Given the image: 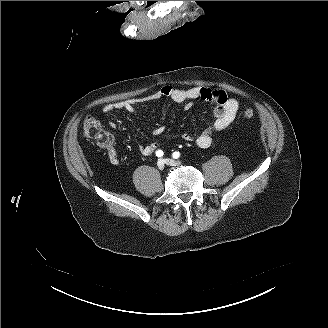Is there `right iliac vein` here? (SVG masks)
<instances>
[{
	"label": "right iliac vein",
	"instance_id": "63e3f726",
	"mask_svg": "<svg viewBox=\"0 0 328 328\" xmlns=\"http://www.w3.org/2000/svg\"><path fill=\"white\" fill-rule=\"evenodd\" d=\"M157 166H158V168H159L160 170H163L164 167H165V162H164V160H158V162H157Z\"/></svg>",
	"mask_w": 328,
	"mask_h": 328
}]
</instances>
